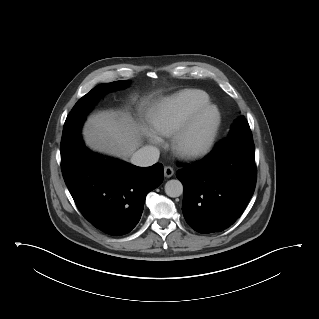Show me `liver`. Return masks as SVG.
Returning <instances> with one entry per match:
<instances>
[{
    "mask_svg": "<svg viewBox=\"0 0 319 319\" xmlns=\"http://www.w3.org/2000/svg\"><path fill=\"white\" fill-rule=\"evenodd\" d=\"M143 132L129 113L109 110L88 118L83 137L92 150L127 160L141 145Z\"/></svg>",
    "mask_w": 319,
    "mask_h": 319,
    "instance_id": "1",
    "label": "liver"
}]
</instances>
